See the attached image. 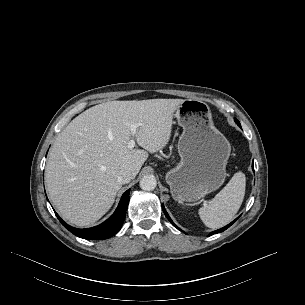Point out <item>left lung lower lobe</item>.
<instances>
[{"mask_svg":"<svg viewBox=\"0 0 305 305\" xmlns=\"http://www.w3.org/2000/svg\"><path fill=\"white\" fill-rule=\"evenodd\" d=\"M253 170H254V167H253ZM162 209H163V212L165 213L166 217L168 218V220H169L176 228H178V227L173 223V221L171 220V218L169 217V215H168V213L166 212V210H165L163 204H162ZM235 221H236V220H234L233 222H231V223L228 224L227 226H225V227H223V228H221V229H219V230H216V231L212 232L210 235H213V234H215V233H220V232L226 230V229H227L229 226H231ZM178 229H179V228H178Z\"/></svg>","mask_w":305,"mask_h":305,"instance_id":"left-lung-lower-lobe-1","label":"left lung lower lobe"}]
</instances>
